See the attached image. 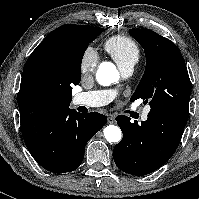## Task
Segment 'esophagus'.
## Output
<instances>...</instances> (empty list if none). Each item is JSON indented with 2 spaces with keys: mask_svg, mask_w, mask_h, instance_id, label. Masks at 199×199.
Returning a JSON list of instances; mask_svg holds the SVG:
<instances>
[{
  "mask_svg": "<svg viewBox=\"0 0 199 199\" xmlns=\"http://www.w3.org/2000/svg\"><path fill=\"white\" fill-rule=\"evenodd\" d=\"M108 123H109V124L115 123L114 117H112V116L108 117Z\"/></svg>",
  "mask_w": 199,
  "mask_h": 199,
  "instance_id": "obj_1",
  "label": "esophagus"
}]
</instances>
